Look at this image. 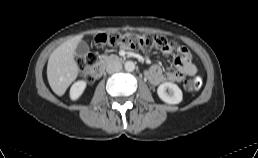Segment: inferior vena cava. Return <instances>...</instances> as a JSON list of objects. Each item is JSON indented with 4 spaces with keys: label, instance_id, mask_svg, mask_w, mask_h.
Segmentation results:
<instances>
[{
    "label": "inferior vena cava",
    "instance_id": "obj_1",
    "mask_svg": "<svg viewBox=\"0 0 258 158\" xmlns=\"http://www.w3.org/2000/svg\"><path fill=\"white\" fill-rule=\"evenodd\" d=\"M122 69V65L119 61L112 62L107 65L106 71L109 74H113L115 72H119Z\"/></svg>",
    "mask_w": 258,
    "mask_h": 158
}]
</instances>
